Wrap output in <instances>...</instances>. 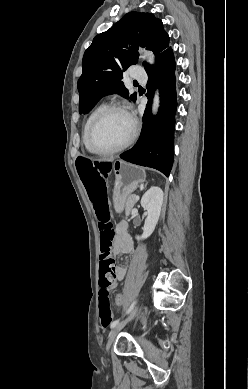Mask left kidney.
Segmentation results:
<instances>
[{
	"label": "left kidney",
	"mask_w": 248,
	"mask_h": 389,
	"mask_svg": "<svg viewBox=\"0 0 248 389\" xmlns=\"http://www.w3.org/2000/svg\"><path fill=\"white\" fill-rule=\"evenodd\" d=\"M163 203V191L160 187H151L142 197L141 206L146 210L142 236H136L137 240L148 238L154 231L158 222Z\"/></svg>",
	"instance_id": "1"
}]
</instances>
